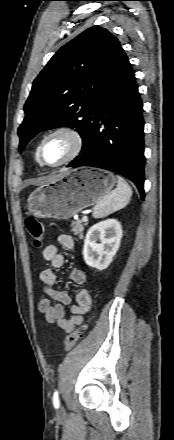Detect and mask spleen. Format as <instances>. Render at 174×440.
I'll return each instance as SVG.
<instances>
[{
	"instance_id": "1",
	"label": "spleen",
	"mask_w": 174,
	"mask_h": 440,
	"mask_svg": "<svg viewBox=\"0 0 174 440\" xmlns=\"http://www.w3.org/2000/svg\"><path fill=\"white\" fill-rule=\"evenodd\" d=\"M132 196V189L120 176H117V188L102 197L95 205L93 216L104 218L115 211H118L129 203Z\"/></svg>"
}]
</instances>
